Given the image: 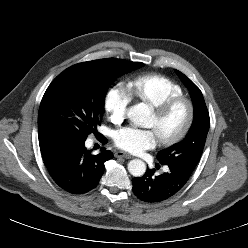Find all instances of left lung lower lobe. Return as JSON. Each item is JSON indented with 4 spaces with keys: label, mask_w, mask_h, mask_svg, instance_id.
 Segmentation results:
<instances>
[{
    "label": "left lung lower lobe",
    "mask_w": 248,
    "mask_h": 248,
    "mask_svg": "<svg viewBox=\"0 0 248 248\" xmlns=\"http://www.w3.org/2000/svg\"><path fill=\"white\" fill-rule=\"evenodd\" d=\"M169 171L154 176V170L147 169L139 178H133V192L140 200L148 203L165 201L176 195L187 183L191 174L168 165Z\"/></svg>",
    "instance_id": "obj_1"
}]
</instances>
